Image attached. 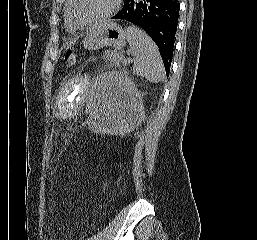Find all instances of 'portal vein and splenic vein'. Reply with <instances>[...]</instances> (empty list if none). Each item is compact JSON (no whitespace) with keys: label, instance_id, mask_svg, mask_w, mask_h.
I'll use <instances>...</instances> for the list:
<instances>
[{"label":"portal vein and splenic vein","instance_id":"portal-vein-and-splenic-vein-1","mask_svg":"<svg viewBox=\"0 0 257 240\" xmlns=\"http://www.w3.org/2000/svg\"><path fill=\"white\" fill-rule=\"evenodd\" d=\"M119 59L122 61L124 65L128 63V60L124 56H121Z\"/></svg>","mask_w":257,"mask_h":240}]
</instances>
